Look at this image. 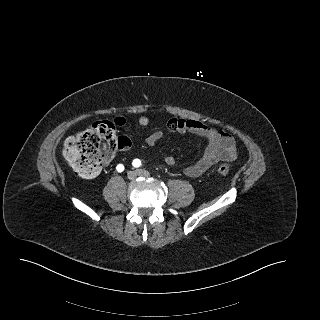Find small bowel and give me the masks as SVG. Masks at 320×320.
Returning <instances> with one entry per match:
<instances>
[{
  "instance_id": "1",
  "label": "small bowel",
  "mask_w": 320,
  "mask_h": 320,
  "mask_svg": "<svg viewBox=\"0 0 320 320\" xmlns=\"http://www.w3.org/2000/svg\"><path fill=\"white\" fill-rule=\"evenodd\" d=\"M115 122L122 126L125 124V119L118 117ZM148 123L149 120L145 116L138 119V124L142 127L147 126ZM166 128L169 132L190 133L207 141L200 158L184 168V173L188 177L197 178L212 165L220 161L230 162L237 157L235 140L227 132L218 131L214 127L197 120L183 118H170L167 121ZM163 136L164 131L156 130L146 137L145 143L148 147H153ZM165 163L169 166H176L177 160L173 156H167L165 157Z\"/></svg>"
}]
</instances>
